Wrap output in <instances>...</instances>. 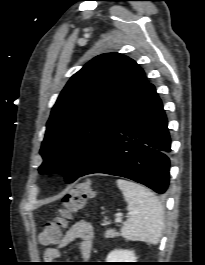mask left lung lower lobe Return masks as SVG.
Listing matches in <instances>:
<instances>
[{"label": "left lung lower lobe", "instance_id": "1", "mask_svg": "<svg viewBox=\"0 0 205 265\" xmlns=\"http://www.w3.org/2000/svg\"><path fill=\"white\" fill-rule=\"evenodd\" d=\"M170 145L162 102L149 83L130 113L77 178L92 173L111 174L165 193L169 185Z\"/></svg>", "mask_w": 205, "mask_h": 265}]
</instances>
